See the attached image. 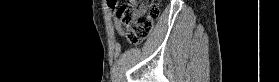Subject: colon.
I'll use <instances>...</instances> for the list:
<instances>
[{"label": "colon", "mask_w": 279, "mask_h": 82, "mask_svg": "<svg viewBox=\"0 0 279 82\" xmlns=\"http://www.w3.org/2000/svg\"><path fill=\"white\" fill-rule=\"evenodd\" d=\"M116 18L125 30L127 40L139 44L152 32L154 21L160 15L159 2L155 0H124Z\"/></svg>", "instance_id": "obj_1"}]
</instances>
